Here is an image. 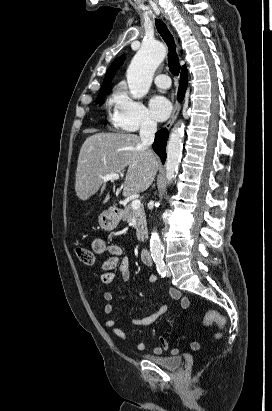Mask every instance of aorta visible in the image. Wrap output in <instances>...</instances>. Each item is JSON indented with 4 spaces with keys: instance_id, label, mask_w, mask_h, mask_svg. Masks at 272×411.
I'll list each match as a JSON object with an SVG mask.
<instances>
[{
    "instance_id": "obj_1",
    "label": "aorta",
    "mask_w": 272,
    "mask_h": 411,
    "mask_svg": "<svg viewBox=\"0 0 272 411\" xmlns=\"http://www.w3.org/2000/svg\"><path fill=\"white\" fill-rule=\"evenodd\" d=\"M165 47L159 42L143 44L133 57L127 69V83L130 94L135 99L144 97L151 86L155 70L165 58ZM183 123L177 124L167 144L165 164L166 179L171 183L178 171L183 149ZM150 252L154 261H162L164 250L159 233L154 229L151 233Z\"/></svg>"
}]
</instances>
